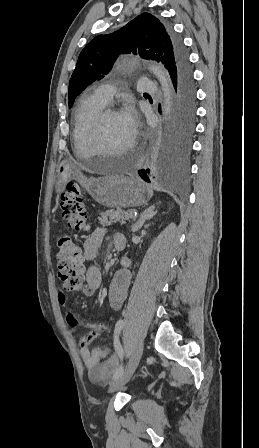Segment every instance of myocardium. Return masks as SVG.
Wrapping results in <instances>:
<instances>
[{
	"instance_id": "myocardium-1",
	"label": "myocardium",
	"mask_w": 259,
	"mask_h": 448,
	"mask_svg": "<svg viewBox=\"0 0 259 448\" xmlns=\"http://www.w3.org/2000/svg\"><path fill=\"white\" fill-rule=\"evenodd\" d=\"M119 112L117 108L113 105H106L95 117L91 129V133L89 136V140L92 144V146L95 149L102 150L106 153H109L112 151V149L107 145L105 138H104V126L105 122L108 117L118 115ZM134 141L131 145L133 146ZM75 156H77V163H84L81 155L79 152L75 153ZM94 171H104V169H95Z\"/></svg>"
}]
</instances>
